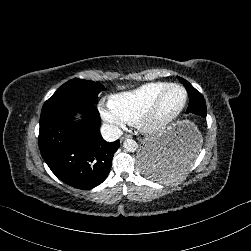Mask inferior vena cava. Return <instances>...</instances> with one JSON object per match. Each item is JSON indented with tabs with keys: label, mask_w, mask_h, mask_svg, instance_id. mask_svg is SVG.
<instances>
[{
	"label": "inferior vena cava",
	"mask_w": 251,
	"mask_h": 251,
	"mask_svg": "<svg viewBox=\"0 0 251 251\" xmlns=\"http://www.w3.org/2000/svg\"><path fill=\"white\" fill-rule=\"evenodd\" d=\"M100 131L102 137L108 142L116 141L123 135V131L114 124L104 123Z\"/></svg>",
	"instance_id": "1"
}]
</instances>
